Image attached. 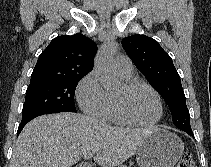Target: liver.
<instances>
[{
	"label": "liver",
	"instance_id": "liver-1",
	"mask_svg": "<svg viewBox=\"0 0 211 167\" xmlns=\"http://www.w3.org/2000/svg\"><path fill=\"white\" fill-rule=\"evenodd\" d=\"M155 127H112L76 113L43 115L30 121L13 148L10 167H71L87 152L102 167L132 157Z\"/></svg>",
	"mask_w": 211,
	"mask_h": 167
}]
</instances>
